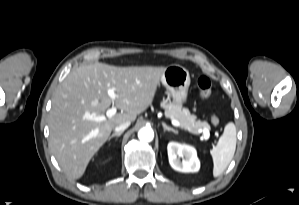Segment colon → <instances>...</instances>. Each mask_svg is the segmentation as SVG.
Returning a JSON list of instances; mask_svg holds the SVG:
<instances>
[{
  "instance_id": "5ec220e1",
  "label": "colon",
  "mask_w": 299,
  "mask_h": 205,
  "mask_svg": "<svg viewBox=\"0 0 299 205\" xmlns=\"http://www.w3.org/2000/svg\"><path fill=\"white\" fill-rule=\"evenodd\" d=\"M197 88L199 90V94L202 98L207 99L212 95V83L211 80L207 76H201L197 79ZM211 123L214 126L219 124V118L216 114L211 116Z\"/></svg>"
}]
</instances>
